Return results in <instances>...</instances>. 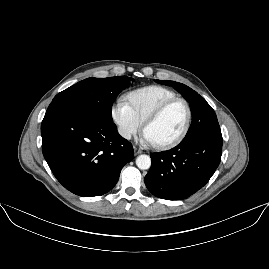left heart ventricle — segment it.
<instances>
[{
    "label": "left heart ventricle",
    "mask_w": 269,
    "mask_h": 269,
    "mask_svg": "<svg viewBox=\"0 0 269 269\" xmlns=\"http://www.w3.org/2000/svg\"><path fill=\"white\" fill-rule=\"evenodd\" d=\"M185 121V106L175 103L148 127L146 139L156 145L167 143L179 135Z\"/></svg>",
    "instance_id": "b2bd125f"
}]
</instances>
